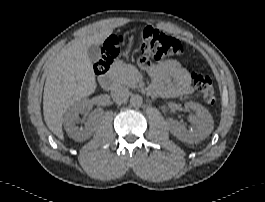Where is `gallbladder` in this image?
I'll use <instances>...</instances> for the list:
<instances>
[{
  "instance_id": "1",
  "label": "gallbladder",
  "mask_w": 265,
  "mask_h": 202,
  "mask_svg": "<svg viewBox=\"0 0 265 202\" xmlns=\"http://www.w3.org/2000/svg\"><path fill=\"white\" fill-rule=\"evenodd\" d=\"M87 54L91 62L96 63L101 58L100 47L96 44L90 45L87 50Z\"/></svg>"
}]
</instances>
